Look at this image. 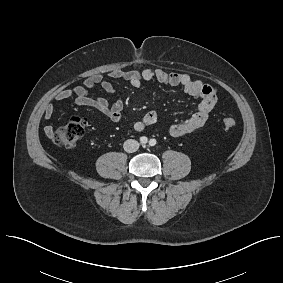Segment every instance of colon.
Segmentation results:
<instances>
[{
    "instance_id": "1",
    "label": "colon",
    "mask_w": 283,
    "mask_h": 283,
    "mask_svg": "<svg viewBox=\"0 0 283 283\" xmlns=\"http://www.w3.org/2000/svg\"><path fill=\"white\" fill-rule=\"evenodd\" d=\"M225 128H233L236 120L232 117H224L222 120ZM85 123L80 118H75L54 130L53 141L64 148H73L83 134Z\"/></svg>"
}]
</instances>
